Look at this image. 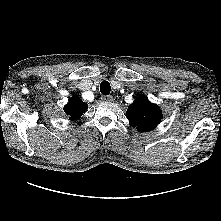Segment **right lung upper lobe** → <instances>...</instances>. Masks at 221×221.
<instances>
[{"mask_svg":"<svg viewBox=\"0 0 221 221\" xmlns=\"http://www.w3.org/2000/svg\"><path fill=\"white\" fill-rule=\"evenodd\" d=\"M86 109L87 104L77 95H74L64 107V111L70 120H78Z\"/></svg>","mask_w":221,"mask_h":221,"instance_id":"obj_1","label":"right lung upper lobe"}]
</instances>
